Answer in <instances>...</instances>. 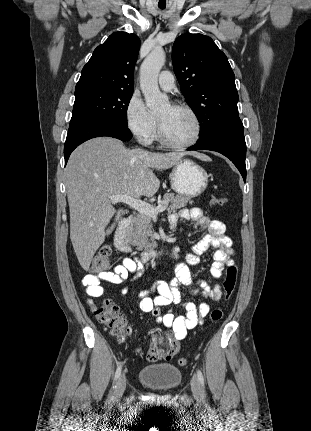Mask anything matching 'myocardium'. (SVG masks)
<instances>
[{"instance_id": "1", "label": "myocardium", "mask_w": 311, "mask_h": 431, "mask_svg": "<svg viewBox=\"0 0 311 431\" xmlns=\"http://www.w3.org/2000/svg\"><path fill=\"white\" fill-rule=\"evenodd\" d=\"M173 107L176 109L185 110V111L189 112L195 118V120L197 122V134L192 141L187 142V143H178V142L172 141L166 137V133H165L163 124H162L161 120L157 117V136H156L157 139L163 145H165L167 147L175 148V149H187V148L195 146L200 141V139L203 135V131H204V124H203L201 116L193 107H191L188 104H184V103L175 104V105H173Z\"/></svg>"}]
</instances>
